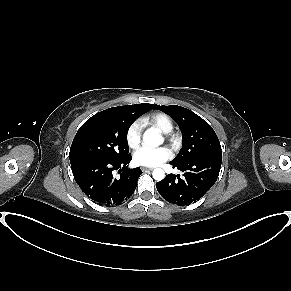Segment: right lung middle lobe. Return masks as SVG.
<instances>
[{"label": "right lung middle lobe", "instance_id": "dd1d6c3e", "mask_svg": "<svg viewBox=\"0 0 291 291\" xmlns=\"http://www.w3.org/2000/svg\"><path fill=\"white\" fill-rule=\"evenodd\" d=\"M113 107L89 118L76 133L70 163L91 159L118 160L129 155L127 133L131 124L149 108Z\"/></svg>", "mask_w": 291, "mask_h": 291}]
</instances>
